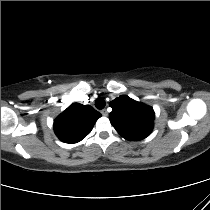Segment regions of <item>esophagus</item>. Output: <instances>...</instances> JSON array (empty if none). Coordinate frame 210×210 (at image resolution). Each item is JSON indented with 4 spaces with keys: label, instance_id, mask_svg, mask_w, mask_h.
<instances>
[{
    "label": "esophagus",
    "instance_id": "esophagus-1",
    "mask_svg": "<svg viewBox=\"0 0 210 210\" xmlns=\"http://www.w3.org/2000/svg\"><path fill=\"white\" fill-rule=\"evenodd\" d=\"M101 114H102L103 116H107V115H108V112H107L106 109H103V110H101Z\"/></svg>",
    "mask_w": 210,
    "mask_h": 210
}]
</instances>
